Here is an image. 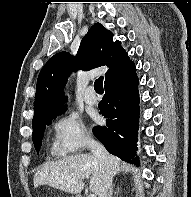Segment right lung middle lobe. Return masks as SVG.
Wrapping results in <instances>:
<instances>
[{
  "label": "right lung middle lobe",
  "instance_id": "1",
  "mask_svg": "<svg viewBox=\"0 0 191 197\" xmlns=\"http://www.w3.org/2000/svg\"><path fill=\"white\" fill-rule=\"evenodd\" d=\"M63 112L64 111H62L60 113H63ZM60 113H58V114H60ZM55 116L56 115L51 116V117L45 119L44 121H42L41 123H39L38 125L33 127L32 140H33L34 147H35L37 152H39V150H40L41 140H42V137H43V132H44V129L46 127V124L50 123L51 120Z\"/></svg>",
  "mask_w": 191,
  "mask_h": 197
}]
</instances>
